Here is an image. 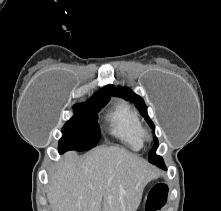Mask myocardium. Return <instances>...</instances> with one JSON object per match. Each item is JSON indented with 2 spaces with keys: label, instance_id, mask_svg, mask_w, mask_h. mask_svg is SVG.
Returning <instances> with one entry per match:
<instances>
[{
  "label": "myocardium",
  "instance_id": "myocardium-1",
  "mask_svg": "<svg viewBox=\"0 0 221 211\" xmlns=\"http://www.w3.org/2000/svg\"><path fill=\"white\" fill-rule=\"evenodd\" d=\"M143 137H144L145 139H148V140L151 139L150 134L147 133V132H144Z\"/></svg>",
  "mask_w": 221,
  "mask_h": 211
}]
</instances>
